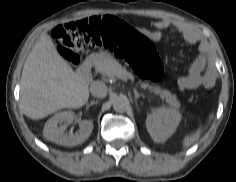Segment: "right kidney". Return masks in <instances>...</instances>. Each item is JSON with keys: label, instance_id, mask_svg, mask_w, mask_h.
I'll use <instances>...</instances> for the list:
<instances>
[{"label": "right kidney", "instance_id": "obj_1", "mask_svg": "<svg viewBox=\"0 0 236 182\" xmlns=\"http://www.w3.org/2000/svg\"><path fill=\"white\" fill-rule=\"evenodd\" d=\"M74 119L75 114L72 111L56 113L46 122L43 130L44 137L51 142L68 147L82 144L89 138L93 130V123L89 120H83L79 123L77 133H65L67 126L70 125Z\"/></svg>", "mask_w": 236, "mask_h": 182}]
</instances>
